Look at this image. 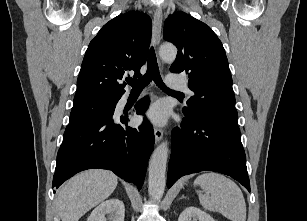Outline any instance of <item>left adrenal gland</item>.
<instances>
[{"instance_id":"a2214340","label":"left adrenal gland","mask_w":307,"mask_h":221,"mask_svg":"<svg viewBox=\"0 0 307 221\" xmlns=\"http://www.w3.org/2000/svg\"><path fill=\"white\" fill-rule=\"evenodd\" d=\"M180 199H186V197L183 195Z\"/></svg>"}]
</instances>
